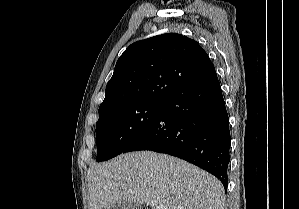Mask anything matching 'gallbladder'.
I'll use <instances>...</instances> for the list:
<instances>
[{
	"mask_svg": "<svg viewBox=\"0 0 299 209\" xmlns=\"http://www.w3.org/2000/svg\"><path fill=\"white\" fill-rule=\"evenodd\" d=\"M106 209H141V208L137 204H133L129 201L121 200L117 203L109 205Z\"/></svg>",
	"mask_w": 299,
	"mask_h": 209,
	"instance_id": "obj_1",
	"label": "gallbladder"
}]
</instances>
